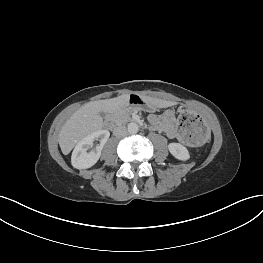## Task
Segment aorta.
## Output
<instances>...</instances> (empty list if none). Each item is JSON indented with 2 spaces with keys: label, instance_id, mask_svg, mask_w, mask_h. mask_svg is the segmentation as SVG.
Listing matches in <instances>:
<instances>
[{
  "label": "aorta",
  "instance_id": "obj_1",
  "mask_svg": "<svg viewBox=\"0 0 263 263\" xmlns=\"http://www.w3.org/2000/svg\"><path fill=\"white\" fill-rule=\"evenodd\" d=\"M138 130H139V126H138V124L135 123V122H131V123H129L128 126H127V131H128L129 133H131V134L137 133Z\"/></svg>",
  "mask_w": 263,
  "mask_h": 263
}]
</instances>
